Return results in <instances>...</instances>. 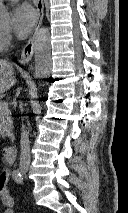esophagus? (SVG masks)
I'll use <instances>...</instances> for the list:
<instances>
[{
  "label": "esophagus",
  "instance_id": "34e87169",
  "mask_svg": "<svg viewBox=\"0 0 128 213\" xmlns=\"http://www.w3.org/2000/svg\"><path fill=\"white\" fill-rule=\"evenodd\" d=\"M36 10H37V21L35 27L31 33L29 40L27 41L26 45L24 46L21 56H20V63L27 64L31 61L33 52H34V41H35V34L39 27L42 24L44 18V0H36Z\"/></svg>",
  "mask_w": 128,
  "mask_h": 213
}]
</instances>
